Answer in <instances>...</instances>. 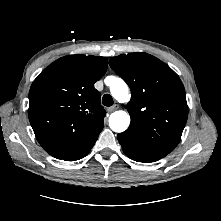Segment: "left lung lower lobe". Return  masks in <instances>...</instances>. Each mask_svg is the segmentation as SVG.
Listing matches in <instances>:
<instances>
[{"mask_svg":"<svg viewBox=\"0 0 221 221\" xmlns=\"http://www.w3.org/2000/svg\"><path fill=\"white\" fill-rule=\"evenodd\" d=\"M117 138L122 146L123 152L132 160L149 163L161 159L153 154L142 151L141 149L133 145L124 133L118 134Z\"/></svg>","mask_w":221,"mask_h":221,"instance_id":"0a47b994","label":"left lung lower lobe"}]
</instances>
